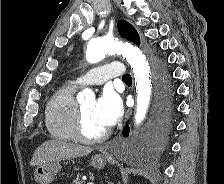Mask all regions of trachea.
Returning <instances> with one entry per match:
<instances>
[{
    "label": "trachea",
    "mask_w": 224,
    "mask_h": 184,
    "mask_svg": "<svg viewBox=\"0 0 224 184\" xmlns=\"http://www.w3.org/2000/svg\"><path fill=\"white\" fill-rule=\"evenodd\" d=\"M122 80H123V81H130V80H132V78H131L130 74H125V75L122 77Z\"/></svg>",
    "instance_id": "trachea-1"
}]
</instances>
